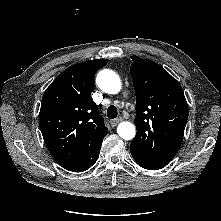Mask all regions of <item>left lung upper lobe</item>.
Masks as SVG:
<instances>
[{
  "label": "left lung upper lobe",
  "mask_w": 221,
  "mask_h": 221,
  "mask_svg": "<svg viewBox=\"0 0 221 221\" xmlns=\"http://www.w3.org/2000/svg\"><path fill=\"white\" fill-rule=\"evenodd\" d=\"M131 58L137 134L130 151L137 160L165 166L182 143L188 105L182 87L162 66L135 55Z\"/></svg>",
  "instance_id": "left-lung-upper-lobe-1"
}]
</instances>
